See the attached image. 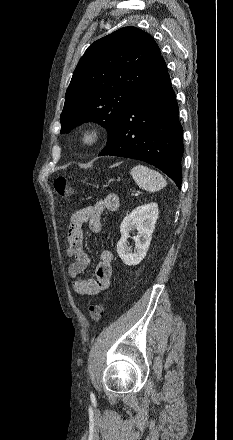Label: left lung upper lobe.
I'll return each instance as SVG.
<instances>
[{
	"label": "left lung upper lobe",
	"instance_id": "1",
	"mask_svg": "<svg viewBox=\"0 0 233 440\" xmlns=\"http://www.w3.org/2000/svg\"><path fill=\"white\" fill-rule=\"evenodd\" d=\"M160 57L154 39L132 26L91 44L66 91L60 133L94 121L108 130L110 141L119 129L127 106Z\"/></svg>",
	"mask_w": 233,
	"mask_h": 440
}]
</instances>
